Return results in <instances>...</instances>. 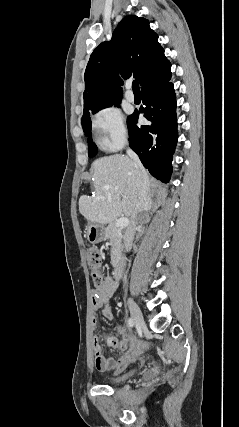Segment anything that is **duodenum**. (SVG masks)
I'll return each mask as SVG.
<instances>
[{
    "mask_svg": "<svg viewBox=\"0 0 239 427\" xmlns=\"http://www.w3.org/2000/svg\"><path fill=\"white\" fill-rule=\"evenodd\" d=\"M124 265V259L122 257H117L113 267V276L116 280H119L122 277Z\"/></svg>",
    "mask_w": 239,
    "mask_h": 427,
    "instance_id": "duodenum-1",
    "label": "duodenum"
}]
</instances>
